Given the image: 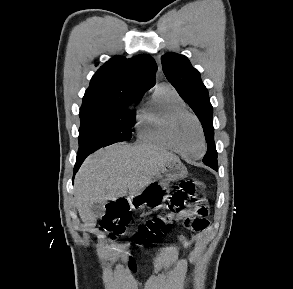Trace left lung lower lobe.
Segmentation results:
<instances>
[{
	"instance_id": "0a47b994",
	"label": "left lung lower lobe",
	"mask_w": 293,
	"mask_h": 289,
	"mask_svg": "<svg viewBox=\"0 0 293 289\" xmlns=\"http://www.w3.org/2000/svg\"><path fill=\"white\" fill-rule=\"evenodd\" d=\"M212 169H214V170H216V171H217L218 167H216V168H212Z\"/></svg>"
}]
</instances>
